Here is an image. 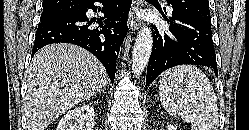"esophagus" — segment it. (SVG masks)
I'll return each instance as SVG.
<instances>
[{"mask_svg": "<svg viewBox=\"0 0 249 130\" xmlns=\"http://www.w3.org/2000/svg\"><path fill=\"white\" fill-rule=\"evenodd\" d=\"M144 0H133L128 17V27L131 31H137L140 27V22L137 19V12L143 7Z\"/></svg>", "mask_w": 249, "mask_h": 130, "instance_id": "1", "label": "esophagus"}]
</instances>
